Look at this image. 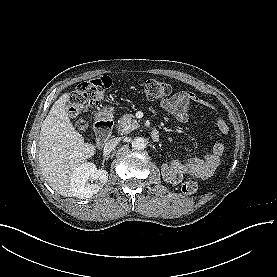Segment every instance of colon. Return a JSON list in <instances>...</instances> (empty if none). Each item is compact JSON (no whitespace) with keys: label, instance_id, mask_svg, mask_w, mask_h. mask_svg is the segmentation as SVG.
Returning a JSON list of instances; mask_svg holds the SVG:
<instances>
[{"label":"colon","instance_id":"5ec220e1","mask_svg":"<svg viewBox=\"0 0 277 277\" xmlns=\"http://www.w3.org/2000/svg\"><path fill=\"white\" fill-rule=\"evenodd\" d=\"M111 86L112 80L109 77H102L77 85L69 96L67 111L70 116L76 117L85 109L97 107ZM142 91L146 98L157 100L169 96L172 88L169 84L158 80H147L143 83ZM74 125L78 131L82 132L86 129V122L83 119H77ZM196 190L197 183L192 178L186 180L182 186V192L185 195H192Z\"/></svg>","mask_w":277,"mask_h":277}]
</instances>
